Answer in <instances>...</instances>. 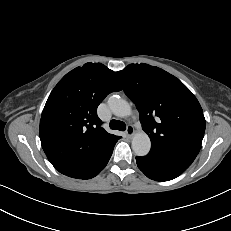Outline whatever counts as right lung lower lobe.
I'll use <instances>...</instances> for the list:
<instances>
[{"label":"right lung lower lobe","instance_id":"right-lung-lower-lobe-1","mask_svg":"<svg viewBox=\"0 0 231 231\" xmlns=\"http://www.w3.org/2000/svg\"><path fill=\"white\" fill-rule=\"evenodd\" d=\"M120 138L114 140L106 150H104L98 157H96L91 162L85 164L82 167H79L73 171H70L66 173L65 175L72 177V178H78V179H90L95 177L104 169V167L107 165L112 152L114 145Z\"/></svg>","mask_w":231,"mask_h":231}]
</instances>
